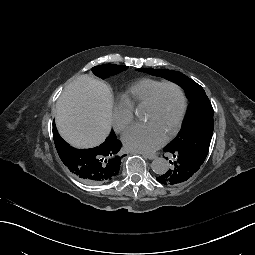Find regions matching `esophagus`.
<instances>
[{"instance_id": "1", "label": "esophagus", "mask_w": 255, "mask_h": 255, "mask_svg": "<svg viewBox=\"0 0 255 255\" xmlns=\"http://www.w3.org/2000/svg\"><path fill=\"white\" fill-rule=\"evenodd\" d=\"M133 154H142L147 159H155L157 157L155 154H146L139 151H133Z\"/></svg>"}]
</instances>
